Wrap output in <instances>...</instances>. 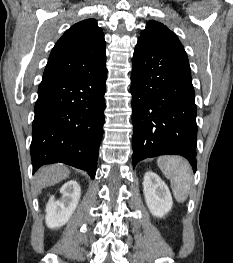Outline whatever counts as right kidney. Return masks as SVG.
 Here are the masks:
<instances>
[{
    "label": "right kidney",
    "mask_w": 233,
    "mask_h": 263,
    "mask_svg": "<svg viewBox=\"0 0 233 263\" xmlns=\"http://www.w3.org/2000/svg\"><path fill=\"white\" fill-rule=\"evenodd\" d=\"M60 193V200L52 196L46 205V224L51 229L63 226L70 219L80 200L81 188L76 181L70 180L61 187Z\"/></svg>",
    "instance_id": "obj_1"
}]
</instances>
